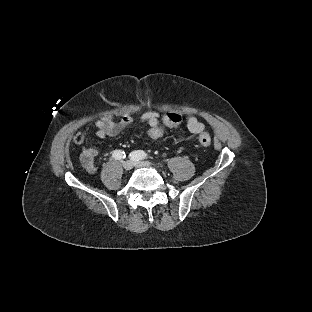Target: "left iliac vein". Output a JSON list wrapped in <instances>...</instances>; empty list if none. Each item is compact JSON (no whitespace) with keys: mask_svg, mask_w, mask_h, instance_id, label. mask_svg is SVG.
Wrapping results in <instances>:
<instances>
[{"mask_svg":"<svg viewBox=\"0 0 312 312\" xmlns=\"http://www.w3.org/2000/svg\"><path fill=\"white\" fill-rule=\"evenodd\" d=\"M133 166L135 167H151V163L147 161L131 160Z\"/></svg>","mask_w":312,"mask_h":312,"instance_id":"1","label":"left iliac vein"}]
</instances>
